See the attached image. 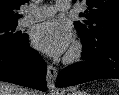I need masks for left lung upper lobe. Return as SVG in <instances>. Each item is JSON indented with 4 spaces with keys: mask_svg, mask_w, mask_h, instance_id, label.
I'll return each instance as SVG.
<instances>
[{
    "mask_svg": "<svg viewBox=\"0 0 119 95\" xmlns=\"http://www.w3.org/2000/svg\"><path fill=\"white\" fill-rule=\"evenodd\" d=\"M76 2V0H73ZM82 22H74L83 45L119 40V0H85Z\"/></svg>",
    "mask_w": 119,
    "mask_h": 95,
    "instance_id": "obj_1",
    "label": "left lung upper lobe"
}]
</instances>
